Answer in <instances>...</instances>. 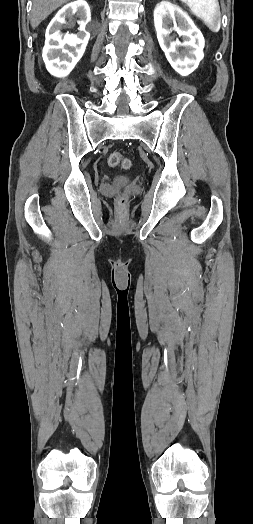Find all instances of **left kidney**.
<instances>
[{
	"mask_svg": "<svg viewBox=\"0 0 253 524\" xmlns=\"http://www.w3.org/2000/svg\"><path fill=\"white\" fill-rule=\"evenodd\" d=\"M154 25L159 45L173 69L182 76L191 74L204 57L205 40L190 17L178 6L162 1L155 7ZM173 30L183 37L182 43L170 36ZM181 47L184 49L179 52Z\"/></svg>",
	"mask_w": 253,
	"mask_h": 524,
	"instance_id": "5707ae66",
	"label": "left kidney"
}]
</instances>
